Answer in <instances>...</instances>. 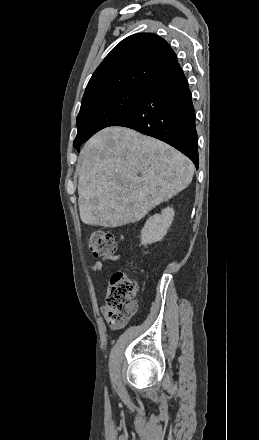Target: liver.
I'll use <instances>...</instances> for the list:
<instances>
[{"mask_svg":"<svg viewBox=\"0 0 259 440\" xmlns=\"http://www.w3.org/2000/svg\"><path fill=\"white\" fill-rule=\"evenodd\" d=\"M77 171L80 218L119 227L189 186L191 160L170 145L126 127H107L81 150Z\"/></svg>","mask_w":259,"mask_h":440,"instance_id":"6515ba94","label":"liver"}]
</instances>
